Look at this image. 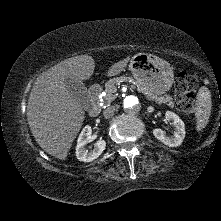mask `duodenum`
Listing matches in <instances>:
<instances>
[{
    "instance_id": "duodenum-1",
    "label": "duodenum",
    "mask_w": 221,
    "mask_h": 221,
    "mask_svg": "<svg viewBox=\"0 0 221 221\" xmlns=\"http://www.w3.org/2000/svg\"><path fill=\"white\" fill-rule=\"evenodd\" d=\"M90 101L91 107L89 110V114L92 117H96L100 113V101H101V94H102V87L99 84L93 85L90 88Z\"/></svg>"
}]
</instances>
